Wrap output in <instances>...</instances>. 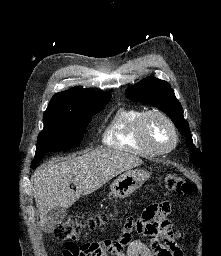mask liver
Instances as JSON below:
<instances>
[{
    "label": "liver",
    "instance_id": "obj_1",
    "mask_svg": "<svg viewBox=\"0 0 221 256\" xmlns=\"http://www.w3.org/2000/svg\"><path fill=\"white\" fill-rule=\"evenodd\" d=\"M141 164L143 161L135 155L101 149L40 166L34 172L32 182L41 226L45 225L52 208L67 209L81 195L93 193L115 176ZM71 183L76 186V191L70 189Z\"/></svg>",
    "mask_w": 221,
    "mask_h": 256
}]
</instances>
